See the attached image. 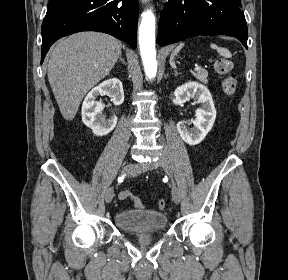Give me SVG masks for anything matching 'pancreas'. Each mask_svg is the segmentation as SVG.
<instances>
[{
	"label": "pancreas",
	"mask_w": 288,
	"mask_h": 280,
	"mask_svg": "<svg viewBox=\"0 0 288 280\" xmlns=\"http://www.w3.org/2000/svg\"><path fill=\"white\" fill-rule=\"evenodd\" d=\"M194 77L203 83H207L208 72L204 69H200L193 73Z\"/></svg>",
	"instance_id": "pancreas-1"
}]
</instances>
